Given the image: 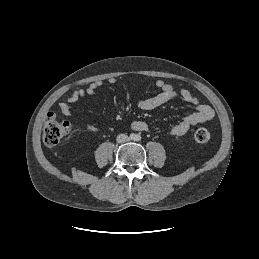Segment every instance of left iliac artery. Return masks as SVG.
Listing matches in <instances>:
<instances>
[{
    "label": "left iliac artery",
    "mask_w": 259,
    "mask_h": 259,
    "mask_svg": "<svg viewBox=\"0 0 259 259\" xmlns=\"http://www.w3.org/2000/svg\"><path fill=\"white\" fill-rule=\"evenodd\" d=\"M136 140H137V141H140V140H141V136L137 135V136H136Z\"/></svg>",
    "instance_id": "obj_1"
}]
</instances>
